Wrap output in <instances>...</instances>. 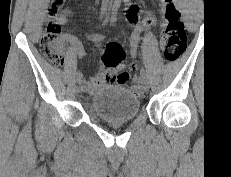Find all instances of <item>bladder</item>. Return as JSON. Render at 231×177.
I'll return each instance as SVG.
<instances>
[{
    "instance_id": "bladder-1",
    "label": "bladder",
    "mask_w": 231,
    "mask_h": 177,
    "mask_svg": "<svg viewBox=\"0 0 231 177\" xmlns=\"http://www.w3.org/2000/svg\"><path fill=\"white\" fill-rule=\"evenodd\" d=\"M91 108L94 114L108 122L125 121L139 113L138 97L119 86H103L93 95Z\"/></svg>"
}]
</instances>
